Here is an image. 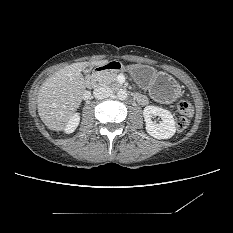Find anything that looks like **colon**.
<instances>
[{"label":"colon","mask_w":233,"mask_h":233,"mask_svg":"<svg viewBox=\"0 0 233 233\" xmlns=\"http://www.w3.org/2000/svg\"><path fill=\"white\" fill-rule=\"evenodd\" d=\"M177 110L179 112V116L176 120V128L179 132H182L188 127L190 119L194 113V108L190 102L180 101L177 105Z\"/></svg>","instance_id":"colon-1"}]
</instances>
